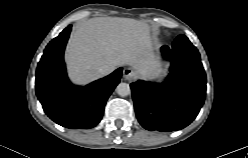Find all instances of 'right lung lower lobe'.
<instances>
[{
	"instance_id": "1",
	"label": "right lung lower lobe",
	"mask_w": 248,
	"mask_h": 158,
	"mask_svg": "<svg viewBox=\"0 0 248 158\" xmlns=\"http://www.w3.org/2000/svg\"><path fill=\"white\" fill-rule=\"evenodd\" d=\"M71 27L65 28L44 50L36 71V94L45 113L57 124L89 129L101 120L106 101L120 82L122 68L85 87L72 85L63 60Z\"/></svg>"
}]
</instances>
